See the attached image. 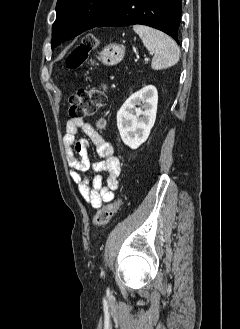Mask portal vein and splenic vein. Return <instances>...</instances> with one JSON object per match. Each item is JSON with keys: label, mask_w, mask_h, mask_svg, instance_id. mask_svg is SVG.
I'll use <instances>...</instances> for the list:
<instances>
[{"label": "portal vein and splenic vein", "mask_w": 240, "mask_h": 329, "mask_svg": "<svg viewBox=\"0 0 240 329\" xmlns=\"http://www.w3.org/2000/svg\"><path fill=\"white\" fill-rule=\"evenodd\" d=\"M145 61H148V58H145Z\"/></svg>", "instance_id": "1"}]
</instances>
